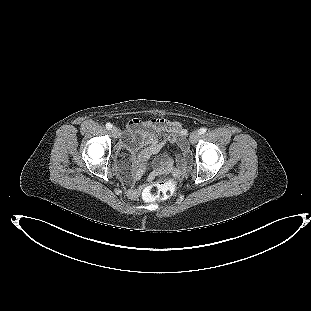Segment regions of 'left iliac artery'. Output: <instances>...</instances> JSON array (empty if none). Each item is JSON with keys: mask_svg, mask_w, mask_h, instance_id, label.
I'll use <instances>...</instances> for the list:
<instances>
[{"mask_svg": "<svg viewBox=\"0 0 311 311\" xmlns=\"http://www.w3.org/2000/svg\"><path fill=\"white\" fill-rule=\"evenodd\" d=\"M206 128H204V127H202V128H200L199 129V134H204V133H206Z\"/></svg>", "mask_w": 311, "mask_h": 311, "instance_id": "obj_1", "label": "left iliac artery"}]
</instances>
